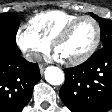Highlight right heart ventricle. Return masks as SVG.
I'll use <instances>...</instances> for the list:
<instances>
[{
    "label": "right heart ventricle",
    "mask_w": 112,
    "mask_h": 112,
    "mask_svg": "<svg viewBox=\"0 0 112 112\" xmlns=\"http://www.w3.org/2000/svg\"><path fill=\"white\" fill-rule=\"evenodd\" d=\"M77 17V14L66 11L50 10L33 16L28 26L42 40L50 44L61 29Z\"/></svg>",
    "instance_id": "1"
}]
</instances>
